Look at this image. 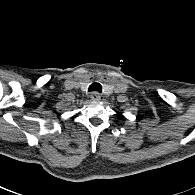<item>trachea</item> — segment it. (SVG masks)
I'll return each instance as SVG.
<instances>
[{
  "instance_id": "3493384b",
  "label": "trachea",
  "mask_w": 195,
  "mask_h": 195,
  "mask_svg": "<svg viewBox=\"0 0 195 195\" xmlns=\"http://www.w3.org/2000/svg\"><path fill=\"white\" fill-rule=\"evenodd\" d=\"M88 91L89 92L97 91V92L101 93L102 92V86L99 83H93L89 86Z\"/></svg>"
}]
</instances>
